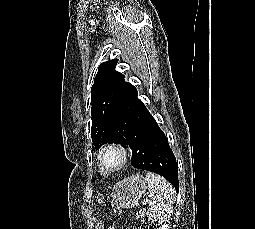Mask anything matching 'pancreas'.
<instances>
[{"label":"pancreas","mask_w":255,"mask_h":229,"mask_svg":"<svg viewBox=\"0 0 255 229\" xmlns=\"http://www.w3.org/2000/svg\"><path fill=\"white\" fill-rule=\"evenodd\" d=\"M143 216H144V211L140 212V215L138 216V218L142 219Z\"/></svg>","instance_id":"cf45deb5"}]
</instances>
